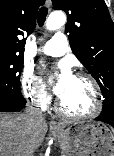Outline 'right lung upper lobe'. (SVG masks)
Wrapping results in <instances>:
<instances>
[{"label":"right lung upper lobe","mask_w":114,"mask_h":156,"mask_svg":"<svg viewBox=\"0 0 114 156\" xmlns=\"http://www.w3.org/2000/svg\"><path fill=\"white\" fill-rule=\"evenodd\" d=\"M45 0H0V56H23L25 40L36 26V13Z\"/></svg>","instance_id":"obj_1"}]
</instances>
